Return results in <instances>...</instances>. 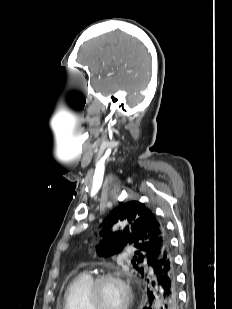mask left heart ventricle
I'll return each mask as SVG.
<instances>
[{
	"mask_svg": "<svg viewBox=\"0 0 232 309\" xmlns=\"http://www.w3.org/2000/svg\"><path fill=\"white\" fill-rule=\"evenodd\" d=\"M125 288L117 281H107L100 289V305L102 309H123L126 304Z\"/></svg>",
	"mask_w": 232,
	"mask_h": 309,
	"instance_id": "1",
	"label": "left heart ventricle"
}]
</instances>
